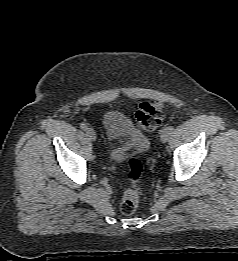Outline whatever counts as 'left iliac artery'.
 Wrapping results in <instances>:
<instances>
[{"label": "left iliac artery", "mask_w": 238, "mask_h": 261, "mask_svg": "<svg viewBox=\"0 0 238 261\" xmlns=\"http://www.w3.org/2000/svg\"><path fill=\"white\" fill-rule=\"evenodd\" d=\"M169 130L172 132L174 130V126H169Z\"/></svg>", "instance_id": "44dca946"}]
</instances>
